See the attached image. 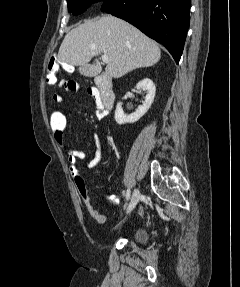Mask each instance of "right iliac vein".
I'll list each match as a JSON object with an SVG mask.
<instances>
[{"instance_id": "63e3f726", "label": "right iliac vein", "mask_w": 240, "mask_h": 287, "mask_svg": "<svg viewBox=\"0 0 240 287\" xmlns=\"http://www.w3.org/2000/svg\"><path fill=\"white\" fill-rule=\"evenodd\" d=\"M139 198H140V192L138 189H135L133 194H132V198H131L130 204L128 206L127 213H130L136 207V205L139 201Z\"/></svg>"}]
</instances>
